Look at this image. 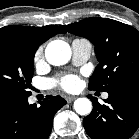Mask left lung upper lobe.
I'll list each match as a JSON object with an SVG mask.
<instances>
[{"label": "left lung upper lobe", "instance_id": "1", "mask_svg": "<svg viewBox=\"0 0 139 139\" xmlns=\"http://www.w3.org/2000/svg\"><path fill=\"white\" fill-rule=\"evenodd\" d=\"M65 31L89 39L99 64L89 89L110 91L124 81L139 77V32L124 23L92 17L62 26Z\"/></svg>", "mask_w": 139, "mask_h": 139}]
</instances>
